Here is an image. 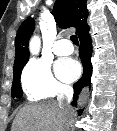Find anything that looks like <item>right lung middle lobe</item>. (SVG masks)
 Wrapping results in <instances>:
<instances>
[{
	"label": "right lung middle lobe",
	"instance_id": "1",
	"mask_svg": "<svg viewBox=\"0 0 117 131\" xmlns=\"http://www.w3.org/2000/svg\"><path fill=\"white\" fill-rule=\"evenodd\" d=\"M23 67L19 69L14 75H13V84H12V97H17L21 98L23 91L21 89L20 85V76H21V71Z\"/></svg>",
	"mask_w": 117,
	"mask_h": 131
}]
</instances>
